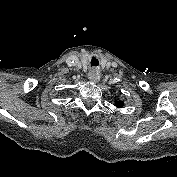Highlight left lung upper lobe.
<instances>
[{"label":"left lung upper lobe","instance_id":"left-lung-upper-lobe-1","mask_svg":"<svg viewBox=\"0 0 177 177\" xmlns=\"http://www.w3.org/2000/svg\"><path fill=\"white\" fill-rule=\"evenodd\" d=\"M115 104H116L117 107H122V103L119 102V101H115Z\"/></svg>","mask_w":177,"mask_h":177}]
</instances>
